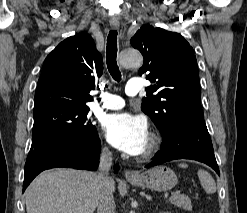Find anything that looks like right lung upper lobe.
<instances>
[{
  "mask_svg": "<svg viewBox=\"0 0 247 213\" xmlns=\"http://www.w3.org/2000/svg\"><path fill=\"white\" fill-rule=\"evenodd\" d=\"M102 72V56L89 34L65 39L44 61L33 111L52 104L87 106Z\"/></svg>",
  "mask_w": 247,
  "mask_h": 213,
  "instance_id": "obj_1",
  "label": "right lung upper lobe"
}]
</instances>
